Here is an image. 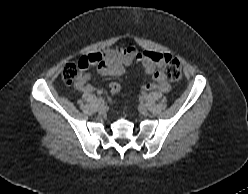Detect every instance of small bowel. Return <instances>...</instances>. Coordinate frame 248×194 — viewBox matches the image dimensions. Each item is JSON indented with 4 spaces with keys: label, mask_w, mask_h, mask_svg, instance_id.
I'll return each instance as SVG.
<instances>
[{
    "label": "small bowel",
    "mask_w": 248,
    "mask_h": 194,
    "mask_svg": "<svg viewBox=\"0 0 248 194\" xmlns=\"http://www.w3.org/2000/svg\"><path fill=\"white\" fill-rule=\"evenodd\" d=\"M155 54L157 53L138 51L135 47L127 46L118 49H107L92 55L97 59V71L101 75L121 76L124 74L126 66L134 62L139 63L147 74L153 76L155 81L145 84L143 89L146 91L157 89L166 93L170 91L171 85L165 78L162 69L154 61L153 55ZM91 77L92 75L88 72L81 73L75 83V88L80 92H92L94 90L101 92V89L89 84Z\"/></svg>",
    "instance_id": "obj_1"
}]
</instances>
